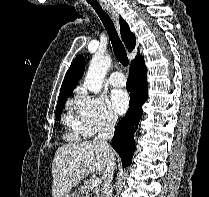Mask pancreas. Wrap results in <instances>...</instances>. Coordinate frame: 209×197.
Wrapping results in <instances>:
<instances>
[{
	"label": "pancreas",
	"mask_w": 209,
	"mask_h": 197,
	"mask_svg": "<svg viewBox=\"0 0 209 197\" xmlns=\"http://www.w3.org/2000/svg\"><path fill=\"white\" fill-rule=\"evenodd\" d=\"M79 190L83 197H99L100 194V186H93L90 181H84Z\"/></svg>",
	"instance_id": "pancreas-1"
}]
</instances>
